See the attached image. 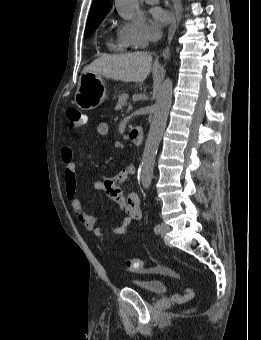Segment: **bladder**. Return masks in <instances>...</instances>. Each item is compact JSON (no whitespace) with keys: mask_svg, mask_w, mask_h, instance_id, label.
Returning a JSON list of instances; mask_svg holds the SVG:
<instances>
[{"mask_svg":"<svg viewBox=\"0 0 261 340\" xmlns=\"http://www.w3.org/2000/svg\"><path fill=\"white\" fill-rule=\"evenodd\" d=\"M131 286L152 296H158L164 294L167 291V281L157 278L134 280L132 281Z\"/></svg>","mask_w":261,"mask_h":340,"instance_id":"1","label":"bladder"}]
</instances>
